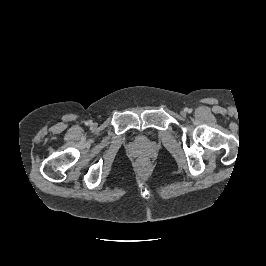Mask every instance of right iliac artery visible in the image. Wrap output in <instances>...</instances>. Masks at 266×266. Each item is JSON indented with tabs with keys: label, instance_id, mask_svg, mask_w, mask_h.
Instances as JSON below:
<instances>
[{
	"label": "right iliac artery",
	"instance_id": "1",
	"mask_svg": "<svg viewBox=\"0 0 266 266\" xmlns=\"http://www.w3.org/2000/svg\"><path fill=\"white\" fill-rule=\"evenodd\" d=\"M92 124V121H87L86 122V125H91Z\"/></svg>",
	"mask_w": 266,
	"mask_h": 266
}]
</instances>
